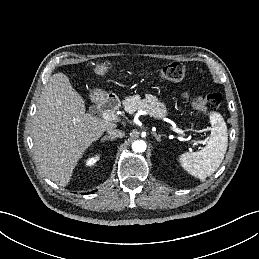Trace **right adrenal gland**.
I'll use <instances>...</instances> for the list:
<instances>
[{
	"mask_svg": "<svg viewBox=\"0 0 259 259\" xmlns=\"http://www.w3.org/2000/svg\"><path fill=\"white\" fill-rule=\"evenodd\" d=\"M114 139H115L114 136H104L101 138V141H105V140L113 141Z\"/></svg>",
	"mask_w": 259,
	"mask_h": 259,
	"instance_id": "right-adrenal-gland-1",
	"label": "right adrenal gland"
}]
</instances>
